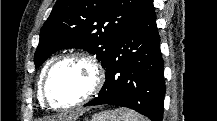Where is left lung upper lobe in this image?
Here are the masks:
<instances>
[{"label": "left lung upper lobe", "instance_id": "left-lung-upper-lobe-1", "mask_svg": "<svg viewBox=\"0 0 217 121\" xmlns=\"http://www.w3.org/2000/svg\"><path fill=\"white\" fill-rule=\"evenodd\" d=\"M140 0H57L40 31L34 55L39 67L61 49L96 54L105 67Z\"/></svg>", "mask_w": 217, "mask_h": 121}]
</instances>
